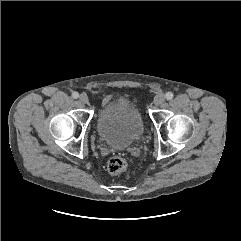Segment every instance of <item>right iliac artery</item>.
<instances>
[{
  "label": "right iliac artery",
  "instance_id": "82829eb1",
  "mask_svg": "<svg viewBox=\"0 0 241 241\" xmlns=\"http://www.w3.org/2000/svg\"><path fill=\"white\" fill-rule=\"evenodd\" d=\"M72 97H73L74 99H77V98L79 97L78 92H73V93H72Z\"/></svg>",
  "mask_w": 241,
  "mask_h": 241
}]
</instances>
